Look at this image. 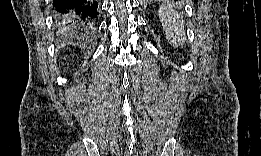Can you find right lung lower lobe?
<instances>
[{
  "label": "right lung lower lobe",
  "instance_id": "right-lung-lower-lobe-1",
  "mask_svg": "<svg viewBox=\"0 0 261 156\" xmlns=\"http://www.w3.org/2000/svg\"><path fill=\"white\" fill-rule=\"evenodd\" d=\"M53 4L62 26L86 27L97 16L98 3L93 0H53Z\"/></svg>",
  "mask_w": 261,
  "mask_h": 156
}]
</instances>
